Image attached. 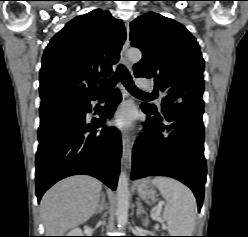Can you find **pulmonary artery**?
Wrapping results in <instances>:
<instances>
[{
    "label": "pulmonary artery",
    "instance_id": "e3ab8cb5",
    "mask_svg": "<svg viewBox=\"0 0 248 237\" xmlns=\"http://www.w3.org/2000/svg\"><path fill=\"white\" fill-rule=\"evenodd\" d=\"M137 85L140 88L148 89L151 87L150 81L146 78H140L137 80Z\"/></svg>",
    "mask_w": 248,
    "mask_h": 237
}]
</instances>
